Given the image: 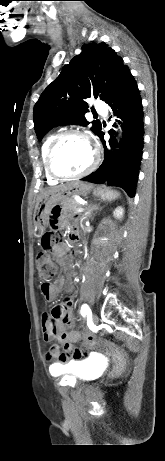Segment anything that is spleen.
I'll use <instances>...</instances> for the list:
<instances>
[{
  "label": "spleen",
  "mask_w": 165,
  "mask_h": 461,
  "mask_svg": "<svg viewBox=\"0 0 165 461\" xmlns=\"http://www.w3.org/2000/svg\"><path fill=\"white\" fill-rule=\"evenodd\" d=\"M101 199L104 201H112L120 196V193L116 190L106 189L105 191L99 192Z\"/></svg>",
  "instance_id": "1"
}]
</instances>
